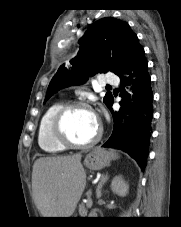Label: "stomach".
I'll list each match as a JSON object with an SVG mask.
<instances>
[{
  "mask_svg": "<svg viewBox=\"0 0 181 227\" xmlns=\"http://www.w3.org/2000/svg\"><path fill=\"white\" fill-rule=\"evenodd\" d=\"M111 158V154L108 151L95 148L86 155L84 165L90 170H101L110 164Z\"/></svg>",
  "mask_w": 181,
  "mask_h": 227,
  "instance_id": "obj_1",
  "label": "stomach"
}]
</instances>
